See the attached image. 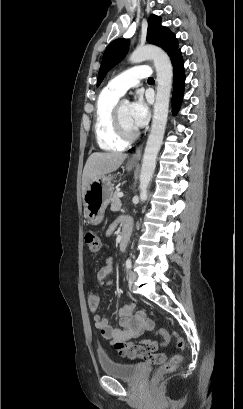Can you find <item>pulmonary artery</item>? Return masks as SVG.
Returning a JSON list of instances; mask_svg holds the SVG:
<instances>
[{
	"mask_svg": "<svg viewBox=\"0 0 243 409\" xmlns=\"http://www.w3.org/2000/svg\"><path fill=\"white\" fill-rule=\"evenodd\" d=\"M148 76L149 71L145 66H135L109 80L107 87L122 96L129 88L136 86L141 79Z\"/></svg>",
	"mask_w": 243,
	"mask_h": 409,
	"instance_id": "e3ab8cb5",
	"label": "pulmonary artery"
}]
</instances>
